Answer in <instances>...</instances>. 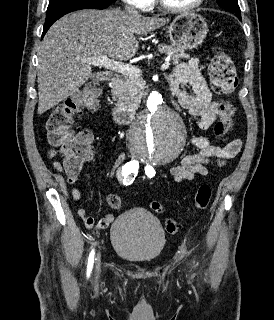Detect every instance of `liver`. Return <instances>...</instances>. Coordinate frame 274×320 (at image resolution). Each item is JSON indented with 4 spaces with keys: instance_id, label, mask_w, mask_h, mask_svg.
<instances>
[{
    "instance_id": "6515ba94",
    "label": "liver",
    "mask_w": 274,
    "mask_h": 320,
    "mask_svg": "<svg viewBox=\"0 0 274 320\" xmlns=\"http://www.w3.org/2000/svg\"><path fill=\"white\" fill-rule=\"evenodd\" d=\"M167 22L169 18L129 16L117 8L63 16L48 30L38 50V114L72 96L88 78H95L90 64L81 60L97 56L131 60L138 52L136 36H146Z\"/></svg>"
}]
</instances>
